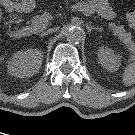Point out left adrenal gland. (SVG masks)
Wrapping results in <instances>:
<instances>
[{
    "instance_id": "left-adrenal-gland-1",
    "label": "left adrenal gland",
    "mask_w": 135,
    "mask_h": 135,
    "mask_svg": "<svg viewBox=\"0 0 135 135\" xmlns=\"http://www.w3.org/2000/svg\"><path fill=\"white\" fill-rule=\"evenodd\" d=\"M86 28H87V30H88V34H89V35H90V33H91L92 30H100L99 27H94V26L89 25V24H86Z\"/></svg>"
}]
</instances>
